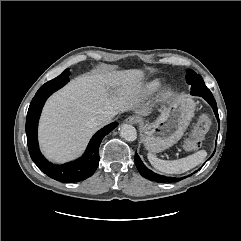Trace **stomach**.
Returning a JSON list of instances; mask_svg holds the SVG:
<instances>
[{
	"mask_svg": "<svg viewBox=\"0 0 241 241\" xmlns=\"http://www.w3.org/2000/svg\"><path fill=\"white\" fill-rule=\"evenodd\" d=\"M196 103L187 95H179L161 110L155 121L140 120L145 148L159 153L176 144L194 116Z\"/></svg>",
	"mask_w": 241,
	"mask_h": 241,
	"instance_id": "1",
	"label": "stomach"
}]
</instances>
